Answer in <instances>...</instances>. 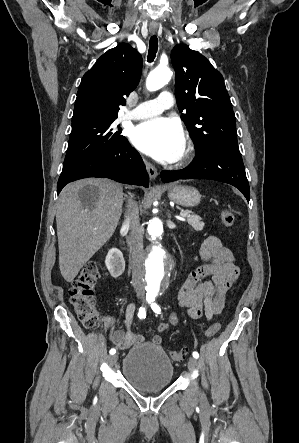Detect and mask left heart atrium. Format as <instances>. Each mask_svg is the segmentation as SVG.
Segmentation results:
<instances>
[{
    "instance_id": "1",
    "label": "left heart atrium",
    "mask_w": 299,
    "mask_h": 443,
    "mask_svg": "<svg viewBox=\"0 0 299 443\" xmlns=\"http://www.w3.org/2000/svg\"><path fill=\"white\" fill-rule=\"evenodd\" d=\"M130 140L137 149L156 160L173 162L183 152L185 135L176 118L156 117L136 125Z\"/></svg>"
}]
</instances>
